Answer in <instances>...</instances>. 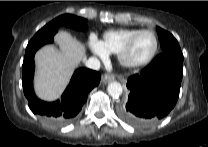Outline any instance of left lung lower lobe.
<instances>
[{"label": "left lung lower lobe", "mask_w": 208, "mask_h": 147, "mask_svg": "<svg viewBox=\"0 0 208 147\" xmlns=\"http://www.w3.org/2000/svg\"><path fill=\"white\" fill-rule=\"evenodd\" d=\"M182 76L183 56L162 52L140 74L128 79L130 94L119 108L120 117L137 127L161 120L178 100Z\"/></svg>", "instance_id": "left-lung-lower-lobe-1"}]
</instances>
